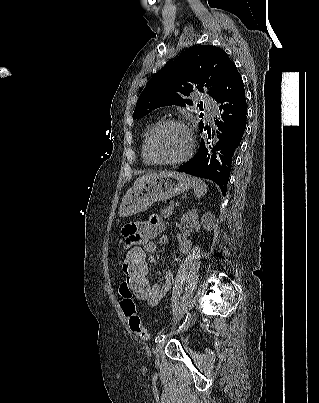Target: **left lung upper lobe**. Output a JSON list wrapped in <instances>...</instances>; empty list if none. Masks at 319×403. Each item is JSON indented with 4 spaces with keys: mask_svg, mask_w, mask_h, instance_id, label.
Instances as JSON below:
<instances>
[{
    "mask_svg": "<svg viewBox=\"0 0 319 403\" xmlns=\"http://www.w3.org/2000/svg\"><path fill=\"white\" fill-rule=\"evenodd\" d=\"M233 65L224 50L211 45L195 46L157 72L139 96L133 118L168 105L186 106L191 92H208L214 99ZM200 108L201 104L198 105ZM200 121V128L203 126Z\"/></svg>",
    "mask_w": 319,
    "mask_h": 403,
    "instance_id": "5c2ea615",
    "label": "left lung upper lobe"
}]
</instances>
